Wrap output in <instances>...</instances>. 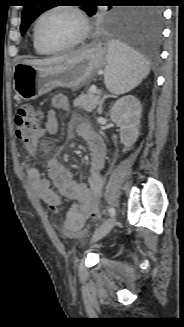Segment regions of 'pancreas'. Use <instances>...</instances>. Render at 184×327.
Returning <instances> with one entry per match:
<instances>
[{
    "mask_svg": "<svg viewBox=\"0 0 184 327\" xmlns=\"http://www.w3.org/2000/svg\"><path fill=\"white\" fill-rule=\"evenodd\" d=\"M100 92H92L90 89L86 94H81L73 102L74 107L84 109L87 112H92L98 105Z\"/></svg>",
    "mask_w": 184,
    "mask_h": 327,
    "instance_id": "1",
    "label": "pancreas"
}]
</instances>
